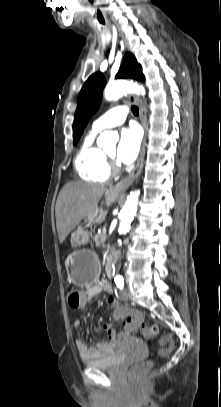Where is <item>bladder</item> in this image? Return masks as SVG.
Here are the masks:
<instances>
[{
    "label": "bladder",
    "mask_w": 221,
    "mask_h": 407,
    "mask_svg": "<svg viewBox=\"0 0 221 407\" xmlns=\"http://www.w3.org/2000/svg\"><path fill=\"white\" fill-rule=\"evenodd\" d=\"M139 346L141 348H144V344L139 343ZM125 361V356L120 353L119 350H116V352L106 358L103 359H98V360H88L85 361V365L88 367L92 368H97V369H102V370H109V371H116L118 370L121 365Z\"/></svg>",
    "instance_id": "obj_1"
}]
</instances>
